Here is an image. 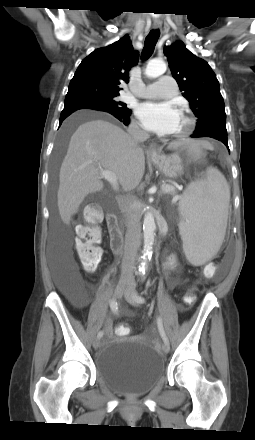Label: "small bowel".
<instances>
[{"label":"small bowel","instance_id":"obj_1","mask_svg":"<svg viewBox=\"0 0 255 440\" xmlns=\"http://www.w3.org/2000/svg\"><path fill=\"white\" fill-rule=\"evenodd\" d=\"M167 268V267H166ZM171 286H177L178 284H179V282H176V281H172L171 283ZM110 331V330H109Z\"/></svg>","mask_w":255,"mask_h":440}]
</instances>
